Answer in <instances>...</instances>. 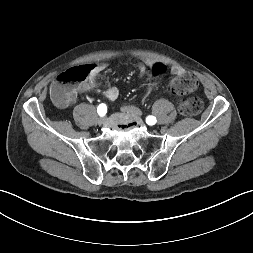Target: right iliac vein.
<instances>
[{
    "instance_id": "right-iliac-vein-1",
    "label": "right iliac vein",
    "mask_w": 253,
    "mask_h": 253,
    "mask_svg": "<svg viewBox=\"0 0 253 253\" xmlns=\"http://www.w3.org/2000/svg\"><path fill=\"white\" fill-rule=\"evenodd\" d=\"M104 121H105V117H103V116L98 119L99 124H103Z\"/></svg>"
}]
</instances>
